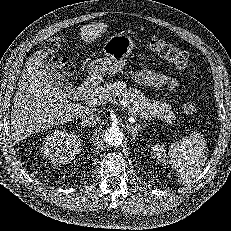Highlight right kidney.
I'll use <instances>...</instances> for the list:
<instances>
[{"label":"right kidney","instance_id":"ca27d5eb","mask_svg":"<svg viewBox=\"0 0 231 231\" xmlns=\"http://www.w3.org/2000/svg\"><path fill=\"white\" fill-rule=\"evenodd\" d=\"M81 139L66 131L55 130L44 138L42 151L53 163L66 164L80 152Z\"/></svg>","mask_w":231,"mask_h":231}]
</instances>
